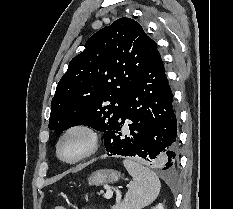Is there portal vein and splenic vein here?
<instances>
[{"mask_svg":"<svg viewBox=\"0 0 233 209\" xmlns=\"http://www.w3.org/2000/svg\"><path fill=\"white\" fill-rule=\"evenodd\" d=\"M113 196V191L110 189V188H108L107 190H106V193L104 194V197L105 198H111ZM120 200H121V193L118 191L117 192V198H116V201L117 202H120Z\"/></svg>","mask_w":233,"mask_h":209,"instance_id":"portal-vein-and-splenic-vein-1","label":"portal vein and splenic vein"}]
</instances>
